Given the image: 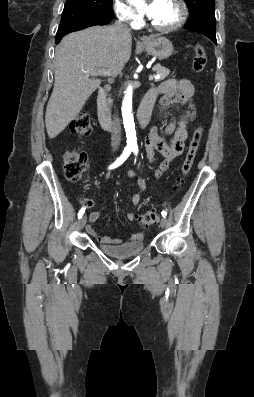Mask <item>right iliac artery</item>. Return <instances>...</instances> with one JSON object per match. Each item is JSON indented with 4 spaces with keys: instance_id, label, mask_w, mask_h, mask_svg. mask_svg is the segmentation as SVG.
<instances>
[{
    "instance_id": "1",
    "label": "right iliac artery",
    "mask_w": 254,
    "mask_h": 397,
    "mask_svg": "<svg viewBox=\"0 0 254 397\" xmlns=\"http://www.w3.org/2000/svg\"><path fill=\"white\" fill-rule=\"evenodd\" d=\"M131 151H132L131 148H127V147H126V148L124 149L123 153L121 154V156H120L119 158H117V159L115 160V162L112 163V164L109 166V169H114V168L120 166V165L129 157V155L131 154ZM84 212H85V207H83V208L80 209V211H79V213H78V218H79V219L82 217V215L84 214Z\"/></svg>"
}]
</instances>
